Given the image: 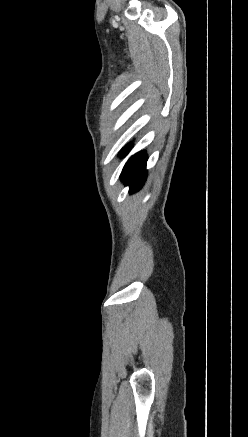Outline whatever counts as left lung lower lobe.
Listing matches in <instances>:
<instances>
[{"mask_svg":"<svg viewBox=\"0 0 248 437\" xmlns=\"http://www.w3.org/2000/svg\"><path fill=\"white\" fill-rule=\"evenodd\" d=\"M130 146L123 149L121 154L124 156L129 151ZM146 161L147 156L145 152H138L125 164L121 173L122 181L130 186V192L138 191L146 180Z\"/></svg>","mask_w":248,"mask_h":437,"instance_id":"0a47b994","label":"left lung lower lobe"}]
</instances>
